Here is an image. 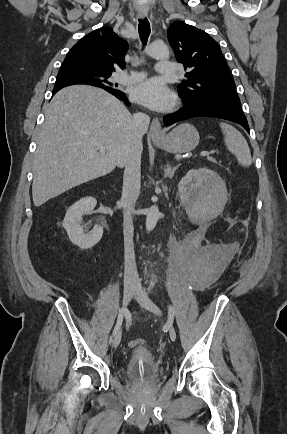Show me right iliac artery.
<instances>
[{"instance_id":"obj_1","label":"right iliac artery","mask_w":287,"mask_h":434,"mask_svg":"<svg viewBox=\"0 0 287 434\" xmlns=\"http://www.w3.org/2000/svg\"><path fill=\"white\" fill-rule=\"evenodd\" d=\"M123 316H124V310L121 309L119 311L117 322H116L114 330H113V335H116V333L119 331V329H120V327L122 325V322H123Z\"/></svg>"}]
</instances>
